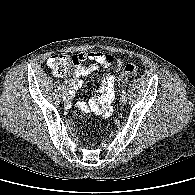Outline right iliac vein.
<instances>
[{"label": "right iliac vein", "instance_id": "1", "mask_svg": "<svg viewBox=\"0 0 195 195\" xmlns=\"http://www.w3.org/2000/svg\"><path fill=\"white\" fill-rule=\"evenodd\" d=\"M62 100L66 103L69 101V95L66 91L62 93Z\"/></svg>", "mask_w": 195, "mask_h": 195}]
</instances>
